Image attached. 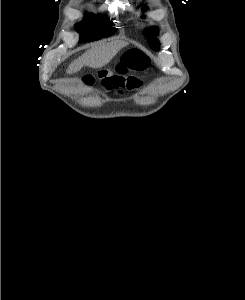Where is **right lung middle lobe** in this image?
<instances>
[{"mask_svg":"<svg viewBox=\"0 0 245 300\" xmlns=\"http://www.w3.org/2000/svg\"><path fill=\"white\" fill-rule=\"evenodd\" d=\"M111 26V21L104 16L93 14L85 15L84 20L75 25V29L81 34L79 43L109 37L117 31L116 28Z\"/></svg>","mask_w":245,"mask_h":300,"instance_id":"dd1d6c3e","label":"right lung middle lobe"}]
</instances>
